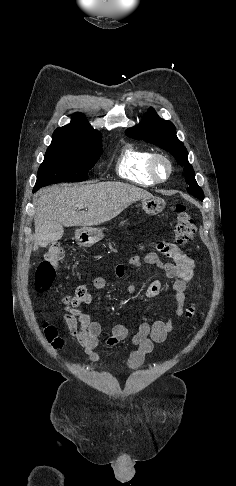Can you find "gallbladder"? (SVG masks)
<instances>
[{"mask_svg": "<svg viewBox=\"0 0 236 486\" xmlns=\"http://www.w3.org/2000/svg\"><path fill=\"white\" fill-rule=\"evenodd\" d=\"M44 232L47 236V240L43 243L42 247L59 240L63 235V226L60 223L51 222L47 225Z\"/></svg>", "mask_w": 236, "mask_h": 486, "instance_id": "gallbladder-1", "label": "gallbladder"}]
</instances>
